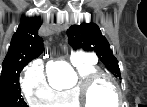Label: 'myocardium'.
<instances>
[{
  "instance_id": "obj_1",
  "label": "myocardium",
  "mask_w": 147,
  "mask_h": 107,
  "mask_svg": "<svg viewBox=\"0 0 147 107\" xmlns=\"http://www.w3.org/2000/svg\"><path fill=\"white\" fill-rule=\"evenodd\" d=\"M102 81L110 82L113 85L117 94V104L122 103L121 91L118 82L109 74L98 71L77 83V95L81 107H93L90 101V93L92 89Z\"/></svg>"
}]
</instances>
